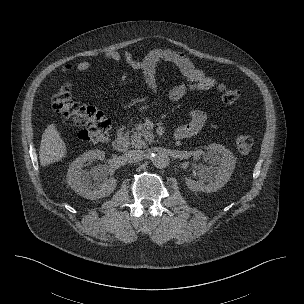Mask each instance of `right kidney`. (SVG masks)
I'll return each mask as SVG.
<instances>
[{
	"mask_svg": "<svg viewBox=\"0 0 304 304\" xmlns=\"http://www.w3.org/2000/svg\"><path fill=\"white\" fill-rule=\"evenodd\" d=\"M104 156V152L100 150H90L76 158L69 166L67 181L71 188L80 196L95 200L110 195L116 188L117 180L107 177V171L104 166H95L90 172L82 169L85 162L103 159Z\"/></svg>",
	"mask_w": 304,
	"mask_h": 304,
	"instance_id": "obj_1",
	"label": "right kidney"
}]
</instances>
